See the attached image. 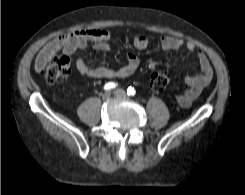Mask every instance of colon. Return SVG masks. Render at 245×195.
I'll return each instance as SVG.
<instances>
[{
  "instance_id": "5ec220e1",
  "label": "colon",
  "mask_w": 245,
  "mask_h": 195,
  "mask_svg": "<svg viewBox=\"0 0 245 195\" xmlns=\"http://www.w3.org/2000/svg\"><path fill=\"white\" fill-rule=\"evenodd\" d=\"M48 82L66 79L70 74V58L67 55H52L43 72ZM167 71H156L150 75V87L156 92L162 91L169 83Z\"/></svg>"
}]
</instances>
